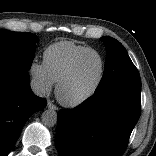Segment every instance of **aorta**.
Here are the masks:
<instances>
[{"label":"aorta","mask_w":156,"mask_h":156,"mask_svg":"<svg viewBox=\"0 0 156 156\" xmlns=\"http://www.w3.org/2000/svg\"><path fill=\"white\" fill-rule=\"evenodd\" d=\"M57 119V112L54 110L48 109L42 113V122L45 126L53 127L54 125H56Z\"/></svg>","instance_id":"1"}]
</instances>
